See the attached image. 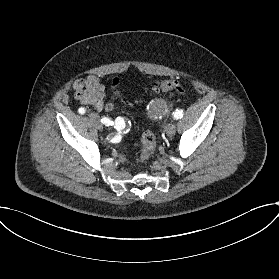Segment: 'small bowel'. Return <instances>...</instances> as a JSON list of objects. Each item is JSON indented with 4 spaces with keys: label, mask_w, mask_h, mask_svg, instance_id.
I'll list each match as a JSON object with an SVG mask.
<instances>
[{
    "label": "small bowel",
    "mask_w": 279,
    "mask_h": 279,
    "mask_svg": "<svg viewBox=\"0 0 279 279\" xmlns=\"http://www.w3.org/2000/svg\"><path fill=\"white\" fill-rule=\"evenodd\" d=\"M119 79L112 81L111 88L115 89L119 86ZM74 98L82 105H91L97 111H102L105 100L108 96L107 87L101 82V78L90 75L77 80L73 85Z\"/></svg>",
    "instance_id": "1"
}]
</instances>
